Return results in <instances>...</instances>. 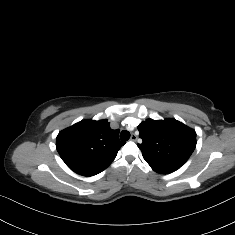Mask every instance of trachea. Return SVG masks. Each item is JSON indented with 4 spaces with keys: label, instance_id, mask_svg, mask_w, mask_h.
I'll use <instances>...</instances> for the list:
<instances>
[{
    "label": "trachea",
    "instance_id": "obj_1",
    "mask_svg": "<svg viewBox=\"0 0 235 235\" xmlns=\"http://www.w3.org/2000/svg\"><path fill=\"white\" fill-rule=\"evenodd\" d=\"M130 138V133L126 130H123L121 133H120V139L122 141H127L128 139Z\"/></svg>",
    "mask_w": 235,
    "mask_h": 235
}]
</instances>
